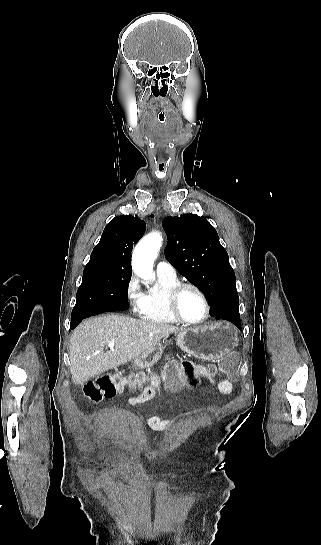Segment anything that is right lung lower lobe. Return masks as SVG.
Listing matches in <instances>:
<instances>
[{
	"label": "right lung lower lobe",
	"mask_w": 321,
	"mask_h": 545,
	"mask_svg": "<svg viewBox=\"0 0 321 545\" xmlns=\"http://www.w3.org/2000/svg\"><path fill=\"white\" fill-rule=\"evenodd\" d=\"M127 309H128V296L126 298L116 300L108 310L109 311H122V310H127ZM85 318H87V316H82V317H79V318H76V319H71V329H74Z\"/></svg>",
	"instance_id": "obj_1"
}]
</instances>
